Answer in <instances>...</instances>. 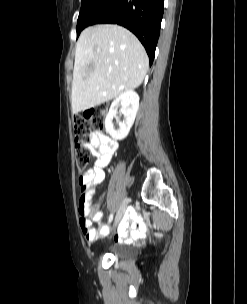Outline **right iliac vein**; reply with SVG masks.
Masks as SVG:
<instances>
[{
  "label": "right iliac vein",
  "mask_w": 247,
  "mask_h": 304,
  "mask_svg": "<svg viewBox=\"0 0 247 304\" xmlns=\"http://www.w3.org/2000/svg\"><path fill=\"white\" fill-rule=\"evenodd\" d=\"M127 203H128V199L125 198L123 200V202L121 203V205L119 206V209L117 211V214H116V217H115V222H114V225L116 226L119 221L122 219L125 211H126V208H127Z\"/></svg>",
  "instance_id": "63e3f726"
}]
</instances>
